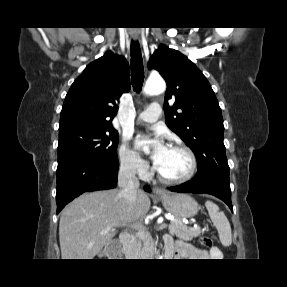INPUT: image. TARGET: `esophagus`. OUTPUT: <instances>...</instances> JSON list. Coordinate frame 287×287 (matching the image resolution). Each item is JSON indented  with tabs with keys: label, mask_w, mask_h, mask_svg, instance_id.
<instances>
[{
	"label": "esophagus",
	"mask_w": 287,
	"mask_h": 287,
	"mask_svg": "<svg viewBox=\"0 0 287 287\" xmlns=\"http://www.w3.org/2000/svg\"><path fill=\"white\" fill-rule=\"evenodd\" d=\"M153 193L155 195H161V194H165V190L161 187H154L153 188Z\"/></svg>",
	"instance_id": "esophagus-1"
}]
</instances>
